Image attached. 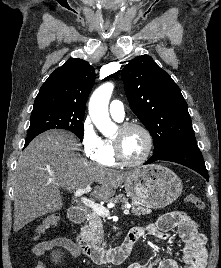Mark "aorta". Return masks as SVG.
<instances>
[{
  "instance_id": "aorta-1",
  "label": "aorta",
  "mask_w": 221,
  "mask_h": 268,
  "mask_svg": "<svg viewBox=\"0 0 221 268\" xmlns=\"http://www.w3.org/2000/svg\"><path fill=\"white\" fill-rule=\"evenodd\" d=\"M113 89V83L107 82L93 92L89 101V115L97 129L106 135L114 132L116 129L108 112V104Z\"/></svg>"
}]
</instances>
